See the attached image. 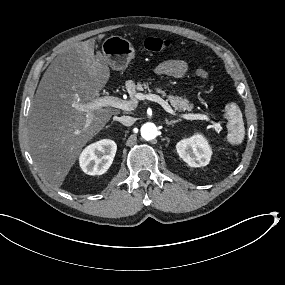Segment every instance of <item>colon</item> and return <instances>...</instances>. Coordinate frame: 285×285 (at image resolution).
<instances>
[{
  "mask_svg": "<svg viewBox=\"0 0 285 285\" xmlns=\"http://www.w3.org/2000/svg\"><path fill=\"white\" fill-rule=\"evenodd\" d=\"M171 47V43L167 39L148 37L144 41V48L149 52H165ZM196 75L200 78H207L209 73L204 69H196Z\"/></svg>",
  "mask_w": 285,
  "mask_h": 285,
  "instance_id": "obj_1",
  "label": "colon"
}]
</instances>
